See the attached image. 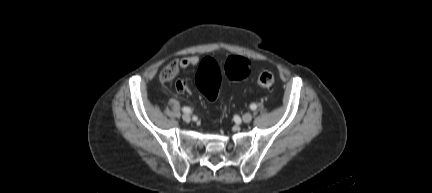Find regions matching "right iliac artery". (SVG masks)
I'll return each mask as SVG.
<instances>
[{"instance_id": "1", "label": "right iliac artery", "mask_w": 432, "mask_h": 193, "mask_svg": "<svg viewBox=\"0 0 432 193\" xmlns=\"http://www.w3.org/2000/svg\"><path fill=\"white\" fill-rule=\"evenodd\" d=\"M182 111H183L184 113H191V109H190L189 107H183V108H182Z\"/></svg>"}]
</instances>
